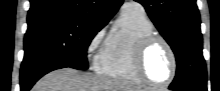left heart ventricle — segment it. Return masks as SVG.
Listing matches in <instances>:
<instances>
[{"label":"left heart ventricle","mask_w":220,"mask_h":91,"mask_svg":"<svg viewBox=\"0 0 220 91\" xmlns=\"http://www.w3.org/2000/svg\"><path fill=\"white\" fill-rule=\"evenodd\" d=\"M145 70L149 78L155 82H165L171 73V58L161 43L154 44L145 58Z\"/></svg>","instance_id":"obj_1"}]
</instances>
